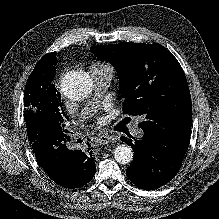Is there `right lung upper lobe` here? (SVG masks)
<instances>
[{"label": "right lung upper lobe", "instance_id": "1", "mask_svg": "<svg viewBox=\"0 0 219 219\" xmlns=\"http://www.w3.org/2000/svg\"><path fill=\"white\" fill-rule=\"evenodd\" d=\"M47 55H56V53L55 52H52V53H49V54H47ZM45 56V55H44ZM55 62L57 63L58 61H57V59H56V57H55Z\"/></svg>", "mask_w": 219, "mask_h": 219}]
</instances>
